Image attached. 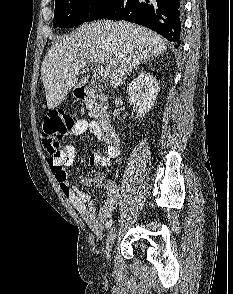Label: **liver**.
<instances>
[{
  "instance_id": "obj_1",
  "label": "liver",
  "mask_w": 233,
  "mask_h": 294,
  "mask_svg": "<svg viewBox=\"0 0 233 294\" xmlns=\"http://www.w3.org/2000/svg\"><path fill=\"white\" fill-rule=\"evenodd\" d=\"M166 50L161 36L140 25L108 20L84 24L75 33L59 38L43 59L41 79L47 107L54 109L69 90L86 84L89 76L78 81L75 70L82 61L107 65L110 84L117 87L133 68Z\"/></svg>"
}]
</instances>
